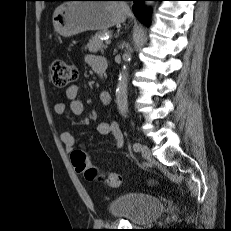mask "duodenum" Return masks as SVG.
Returning <instances> with one entry per match:
<instances>
[{"label": "duodenum", "mask_w": 231, "mask_h": 231, "mask_svg": "<svg viewBox=\"0 0 231 231\" xmlns=\"http://www.w3.org/2000/svg\"><path fill=\"white\" fill-rule=\"evenodd\" d=\"M107 62V61H106ZM107 70V64H101L95 68V72L100 76H104L105 72Z\"/></svg>", "instance_id": "duodenum-1"}]
</instances>
